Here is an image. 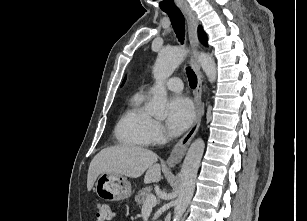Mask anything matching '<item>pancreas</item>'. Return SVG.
I'll list each match as a JSON object with an SVG mask.
<instances>
[{
  "label": "pancreas",
  "mask_w": 307,
  "mask_h": 221,
  "mask_svg": "<svg viewBox=\"0 0 307 221\" xmlns=\"http://www.w3.org/2000/svg\"><path fill=\"white\" fill-rule=\"evenodd\" d=\"M151 194V188H143L142 190L138 191V194L135 196V201L138 205H142L147 198Z\"/></svg>",
  "instance_id": "obj_1"
}]
</instances>
